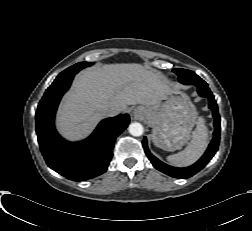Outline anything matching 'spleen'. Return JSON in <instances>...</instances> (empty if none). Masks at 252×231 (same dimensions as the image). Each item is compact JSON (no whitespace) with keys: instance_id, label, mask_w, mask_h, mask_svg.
<instances>
[{"instance_id":"obj_1","label":"spleen","mask_w":252,"mask_h":231,"mask_svg":"<svg viewBox=\"0 0 252 231\" xmlns=\"http://www.w3.org/2000/svg\"><path fill=\"white\" fill-rule=\"evenodd\" d=\"M208 129L202 117L196 122V129L192 132V139L186 148L167 157V160L174 166L185 167L196 162L204 153L207 147Z\"/></svg>"}]
</instances>
